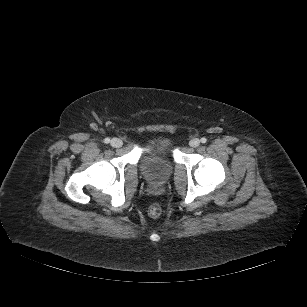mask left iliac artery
<instances>
[{"label": "left iliac artery", "instance_id": "1", "mask_svg": "<svg viewBox=\"0 0 307 307\" xmlns=\"http://www.w3.org/2000/svg\"><path fill=\"white\" fill-rule=\"evenodd\" d=\"M201 142L202 143H206L207 142V139L205 137L201 138Z\"/></svg>", "mask_w": 307, "mask_h": 307}]
</instances>
